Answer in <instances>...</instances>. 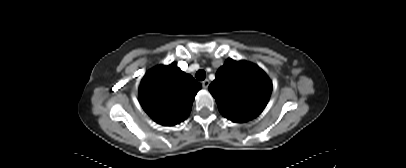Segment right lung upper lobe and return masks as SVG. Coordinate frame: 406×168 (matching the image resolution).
<instances>
[{
	"instance_id": "right-lung-upper-lobe-1",
	"label": "right lung upper lobe",
	"mask_w": 406,
	"mask_h": 168,
	"mask_svg": "<svg viewBox=\"0 0 406 168\" xmlns=\"http://www.w3.org/2000/svg\"><path fill=\"white\" fill-rule=\"evenodd\" d=\"M201 84L176 63L151 69L141 81L139 102L145 112L164 126L179 124L192 108Z\"/></svg>"
}]
</instances>
